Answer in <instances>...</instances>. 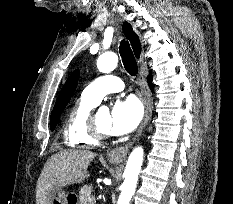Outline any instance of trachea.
<instances>
[{"mask_svg":"<svg viewBox=\"0 0 233 204\" xmlns=\"http://www.w3.org/2000/svg\"><path fill=\"white\" fill-rule=\"evenodd\" d=\"M122 62L126 71L133 77L138 74V66L130 44L127 41H122L119 47Z\"/></svg>","mask_w":233,"mask_h":204,"instance_id":"1","label":"trachea"}]
</instances>
